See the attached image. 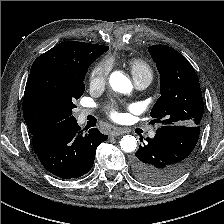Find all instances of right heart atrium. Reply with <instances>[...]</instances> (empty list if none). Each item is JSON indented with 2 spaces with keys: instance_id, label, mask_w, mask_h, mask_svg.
<instances>
[{
  "instance_id": "1",
  "label": "right heart atrium",
  "mask_w": 224,
  "mask_h": 224,
  "mask_svg": "<svg viewBox=\"0 0 224 224\" xmlns=\"http://www.w3.org/2000/svg\"><path fill=\"white\" fill-rule=\"evenodd\" d=\"M111 64L107 61L97 63L91 70L89 75L90 86L103 87L108 80Z\"/></svg>"
}]
</instances>
